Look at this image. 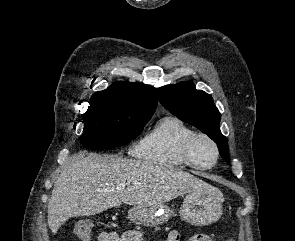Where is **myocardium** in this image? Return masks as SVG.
Returning a JSON list of instances; mask_svg holds the SVG:
<instances>
[{"mask_svg":"<svg viewBox=\"0 0 295 241\" xmlns=\"http://www.w3.org/2000/svg\"><path fill=\"white\" fill-rule=\"evenodd\" d=\"M197 139H205L208 141L215 151V159L214 161L208 166H202L195 162L192 155V148ZM181 155L185 161V163L192 168L199 169V170H209L212 169L219 161L220 158V149L217 142L208 134L203 132H193L182 144L181 148Z\"/></svg>","mask_w":295,"mask_h":241,"instance_id":"1","label":"myocardium"}]
</instances>
